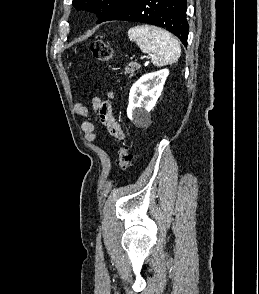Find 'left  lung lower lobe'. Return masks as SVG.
Wrapping results in <instances>:
<instances>
[{
	"label": "left lung lower lobe",
	"mask_w": 259,
	"mask_h": 294,
	"mask_svg": "<svg viewBox=\"0 0 259 294\" xmlns=\"http://www.w3.org/2000/svg\"><path fill=\"white\" fill-rule=\"evenodd\" d=\"M186 4V0H126L104 21L124 20L160 26L176 35L187 46L189 25L186 20Z\"/></svg>",
	"instance_id": "obj_1"
}]
</instances>
